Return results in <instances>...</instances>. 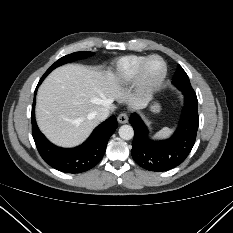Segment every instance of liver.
Instances as JSON below:
<instances>
[{"label":"liver","instance_id":"obj_1","mask_svg":"<svg viewBox=\"0 0 233 233\" xmlns=\"http://www.w3.org/2000/svg\"><path fill=\"white\" fill-rule=\"evenodd\" d=\"M112 71H98L68 64L52 71L38 90L36 120L43 134L54 144L74 147L87 139L99 124L94 113L114 101H127L133 109H143L147 101L121 91Z\"/></svg>","mask_w":233,"mask_h":233}]
</instances>
